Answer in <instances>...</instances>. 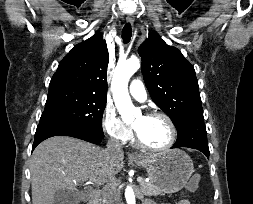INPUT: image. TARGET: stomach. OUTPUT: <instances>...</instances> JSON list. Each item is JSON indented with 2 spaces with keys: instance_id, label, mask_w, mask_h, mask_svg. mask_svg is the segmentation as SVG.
<instances>
[{
  "instance_id": "stomach-1",
  "label": "stomach",
  "mask_w": 253,
  "mask_h": 204,
  "mask_svg": "<svg viewBox=\"0 0 253 204\" xmlns=\"http://www.w3.org/2000/svg\"><path fill=\"white\" fill-rule=\"evenodd\" d=\"M132 161L145 168L150 182L162 193H176L185 187L194 172L191 158L173 149L151 155H138Z\"/></svg>"
}]
</instances>
